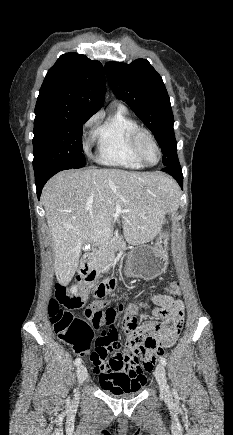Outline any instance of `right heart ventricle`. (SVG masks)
Masks as SVG:
<instances>
[{"label":"right heart ventricle","instance_id":"right-heart-ventricle-1","mask_svg":"<svg viewBox=\"0 0 233 435\" xmlns=\"http://www.w3.org/2000/svg\"><path fill=\"white\" fill-rule=\"evenodd\" d=\"M138 127L122 107L98 121L92 132V139L98 147V161L108 166L142 169L144 164L136 156L131 143V135Z\"/></svg>","mask_w":233,"mask_h":435}]
</instances>
